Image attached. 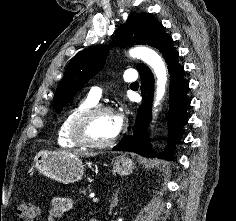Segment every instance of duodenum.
<instances>
[{"instance_id": "1", "label": "duodenum", "mask_w": 236, "mask_h": 221, "mask_svg": "<svg viewBox=\"0 0 236 221\" xmlns=\"http://www.w3.org/2000/svg\"><path fill=\"white\" fill-rule=\"evenodd\" d=\"M90 221H98V220L95 218H91Z\"/></svg>"}]
</instances>
